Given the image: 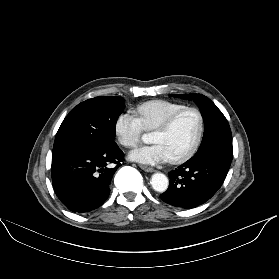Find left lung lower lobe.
I'll list each match as a JSON object with an SVG mask.
<instances>
[{
    "instance_id": "1",
    "label": "left lung lower lobe",
    "mask_w": 279,
    "mask_h": 279,
    "mask_svg": "<svg viewBox=\"0 0 279 279\" xmlns=\"http://www.w3.org/2000/svg\"><path fill=\"white\" fill-rule=\"evenodd\" d=\"M231 161V158L217 152L192 157L169 173V187L160 195L161 199L185 209L205 203L221 187Z\"/></svg>"
}]
</instances>
